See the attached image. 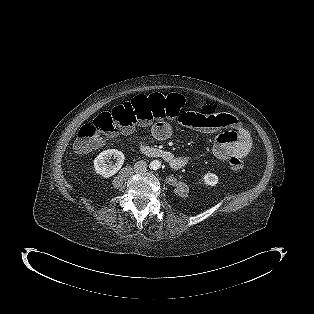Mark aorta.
I'll return each mask as SVG.
<instances>
[{
  "label": "aorta",
  "instance_id": "obj_1",
  "mask_svg": "<svg viewBox=\"0 0 314 314\" xmlns=\"http://www.w3.org/2000/svg\"><path fill=\"white\" fill-rule=\"evenodd\" d=\"M150 165L153 170H157L161 167V162L159 160H154Z\"/></svg>",
  "mask_w": 314,
  "mask_h": 314
}]
</instances>
